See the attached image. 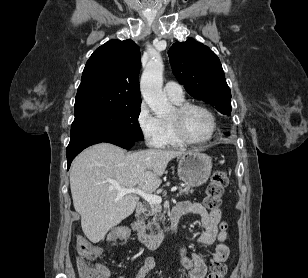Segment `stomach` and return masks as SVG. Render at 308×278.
I'll use <instances>...</instances> for the list:
<instances>
[{
  "label": "stomach",
  "mask_w": 308,
  "mask_h": 278,
  "mask_svg": "<svg viewBox=\"0 0 308 278\" xmlns=\"http://www.w3.org/2000/svg\"><path fill=\"white\" fill-rule=\"evenodd\" d=\"M211 169L210 156L199 151H188L178 157V176L188 187H198L206 183Z\"/></svg>",
  "instance_id": "stomach-1"
}]
</instances>
